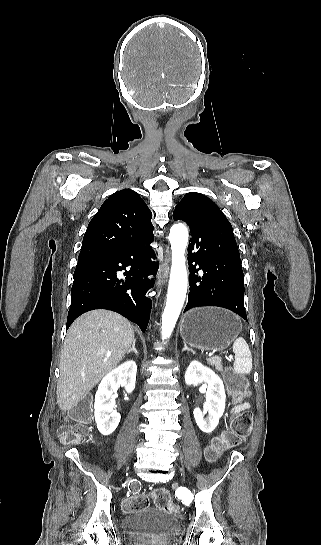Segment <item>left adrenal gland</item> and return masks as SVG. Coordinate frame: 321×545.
<instances>
[{
  "label": "left adrenal gland",
  "mask_w": 321,
  "mask_h": 545,
  "mask_svg": "<svg viewBox=\"0 0 321 545\" xmlns=\"http://www.w3.org/2000/svg\"><path fill=\"white\" fill-rule=\"evenodd\" d=\"M182 351H191V353H193V355H195V351H192V349H188L186 343H184V349H182Z\"/></svg>",
  "instance_id": "left-adrenal-gland-1"
}]
</instances>
